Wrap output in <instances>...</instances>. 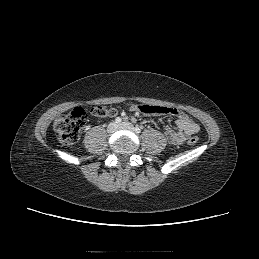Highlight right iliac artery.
Instances as JSON below:
<instances>
[{
  "instance_id": "right-iliac-artery-1",
  "label": "right iliac artery",
  "mask_w": 259,
  "mask_h": 259,
  "mask_svg": "<svg viewBox=\"0 0 259 259\" xmlns=\"http://www.w3.org/2000/svg\"><path fill=\"white\" fill-rule=\"evenodd\" d=\"M121 121H122V119H121L120 117H117V118L115 119V122L118 123V124L121 123Z\"/></svg>"
}]
</instances>
